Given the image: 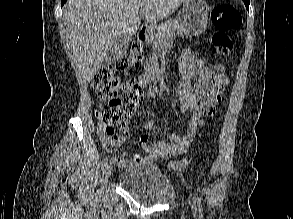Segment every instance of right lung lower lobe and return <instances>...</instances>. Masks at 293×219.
<instances>
[{
    "instance_id": "98d812e1",
    "label": "right lung lower lobe",
    "mask_w": 293,
    "mask_h": 219,
    "mask_svg": "<svg viewBox=\"0 0 293 219\" xmlns=\"http://www.w3.org/2000/svg\"><path fill=\"white\" fill-rule=\"evenodd\" d=\"M66 1L67 0H61V6H63Z\"/></svg>"
}]
</instances>
